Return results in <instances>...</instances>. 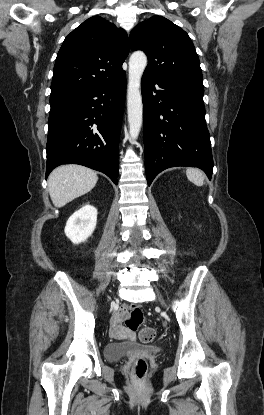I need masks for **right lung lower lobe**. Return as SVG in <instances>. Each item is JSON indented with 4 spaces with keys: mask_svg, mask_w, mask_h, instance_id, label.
Here are the masks:
<instances>
[{
    "mask_svg": "<svg viewBox=\"0 0 264 415\" xmlns=\"http://www.w3.org/2000/svg\"><path fill=\"white\" fill-rule=\"evenodd\" d=\"M126 74L111 82L50 99L47 166L80 164L103 172L117 185L118 149Z\"/></svg>",
    "mask_w": 264,
    "mask_h": 415,
    "instance_id": "98d812e1",
    "label": "right lung lower lobe"
}]
</instances>
